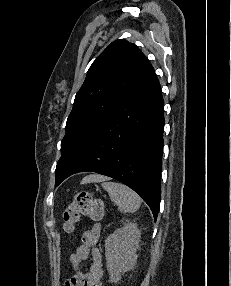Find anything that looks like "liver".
I'll return each instance as SVG.
<instances>
[{"label":"liver","mask_w":231,"mask_h":286,"mask_svg":"<svg viewBox=\"0 0 231 286\" xmlns=\"http://www.w3.org/2000/svg\"><path fill=\"white\" fill-rule=\"evenodd\" d=\"M103 179L105 178L99 175H90V176L85 177L81 183L85 184V183H90V182H95V181H101Z\"/></svg>","instance_id":"6515ba94"}]
</instances>
